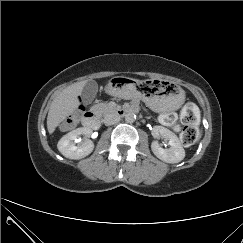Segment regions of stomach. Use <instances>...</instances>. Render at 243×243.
Returning a JSON list of instances; mask_svg holds the SVG:
<instances>
[{"instance_id": "0dacf381", "label": "stomach", "mask_w": 243, "mask_h": 243, "mask_svg": "<svg viewBox=\"0 0 243 243\" xmlns=\"http://www.w3.org/2000/svg\"><path fill=\"white\" fill-rule=\"evenodd\" d=\"M108 89L124 100H144L157 112L178 110L185 100V93L178 85L161 79L140 82L126 77H115L109 82Z\"/></svg>"}]
</instances>
